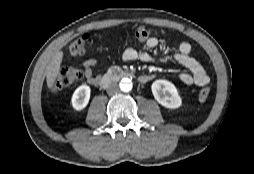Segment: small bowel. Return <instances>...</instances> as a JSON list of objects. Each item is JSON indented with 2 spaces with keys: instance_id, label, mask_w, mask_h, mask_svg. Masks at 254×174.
<instances>
[{
  "instance_id": "1",
  "label": "small bowel",
  "mask_w": 254,
  "mask_h": 174,
  "mask_svg": "<svg viewBox=\"0 0 254 174\" xmlns=\"http://www.w3.org/2000/svg\"><path fill=\"white\" fill-rule=\"evenodd\" d=\"M159 44L160 41L157 38L151 37L146 41V49L128 47L124 50L122 58L124 61H153L154 55L151 50L157 48ZM191 52V45L187 42H182L179 44L177 51L173 55L175 61L187 69V71L179 73V79L187 85H206L209 82V77L203 66L194 57H192ZM97 65L98 60L95 58H91L82 63L85 78L87 82L92 85H98L101 79V74H96L94 71ZM149 79V76L141 77L142 82H146Z\"/></svg>"
}]
</instances>
